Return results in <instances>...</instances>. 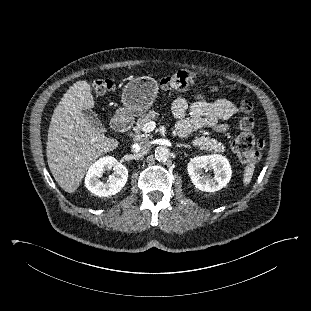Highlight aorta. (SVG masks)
<instances>
[{"instance_id": "762f6f07", "label": "aorta", "mask_w": 311, "mask_h": 311, "mask_svg": "<svg viewBox=\"0 0 311 311\" xmlns=\"http://www.w3.org/2000/svg\"><path fill=\"white\" fill-rule=\"evenodd\" d=\"M170 157V151L165 146H159L155 149V158L158 161L166 162Z\"/></svg>"}]
</instances>
